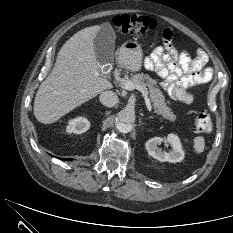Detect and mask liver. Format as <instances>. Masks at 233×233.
<instances>
[{
    "instance_id": "6515ba94",
    "label": "liver",
    "mask_w": 233,
    "mask_h": 233,
    "mask_svg": "<svg viewBox=\"0 0 233 233\" xmlns=\"http://www.w3.org/2000/svg\"><path fill=\"white\" fill-rule=\"evenodd\" d=\"M100 26L84 28L61 47L56 63L41 83L34 100V115L50 124L96 97L112 84L100 76L94 38Z\"/></svg>"
}]
</instances>
